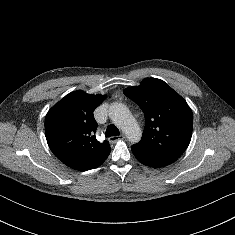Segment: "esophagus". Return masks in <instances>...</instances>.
Segmentation results:
<instances>
[{
	"mask_svg": "<svg viewBox=\"0 0 235 235\" xmlns=\"http://www.w3.org/2000/svg\"><path fill=\"white\" fill-rule=\"evenodd\" d=\"M124 138H125L124 135L112 136V137L109 138V141H110L111 143H115L116 141L121 140V139H124Z\"/></svg>",
	"mask_w": 235,
	"mask_h": 235,
	"instance_id": "34e87169",
	"label": "esophagus"
}]
</instances>
